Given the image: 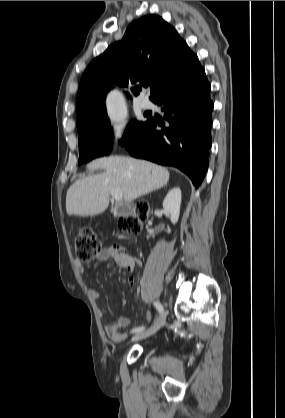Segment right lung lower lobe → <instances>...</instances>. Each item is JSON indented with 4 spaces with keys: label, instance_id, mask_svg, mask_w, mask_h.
<instances>
[{
    "label": "right lung lower lobe",
    "instance_id": "right-lung-lower-lobe-1",
    "mask_svg": "<svg viewBox=\"0 0 285 418\" xmlns=\"http://www.w3.org/2000/svg\"><path fill=\"white\" fill-rule=\"evenodd\" d=\"M204 69L166 92L156 104L162 105L167 125L150 118L127 143L136 157L161 165L174 166L186 173L195 187L208 169L212 144L213 103ZM157 126H162L157 130Z\"/></svg>",
    "mask_w": 285,
    "mask_h": 418
}]
</instances>
